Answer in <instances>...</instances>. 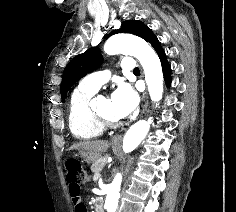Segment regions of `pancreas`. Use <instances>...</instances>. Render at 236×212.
Returning a JSON list of instances; mask_svg holds the SVG:
<instances>
[{"label": "pancreas", "instance_id": "obj_1", "mask_svg": "<svg viewBox=\"0 0 236 212\" xmlns=\"http://www.w3.org/2000/svg\"><path fill=\"white\" fill-rule=\"evenodd\" d=\"M106 160L103 158H99L97 159L91 166V170L92 172H94V176H100V172L103 168V166L105 165ZM94 179V177H93ZM94 181H96V179H94Z\"/></svg>", "mask_w": 236, "mask_h": 212}]
</instances>
